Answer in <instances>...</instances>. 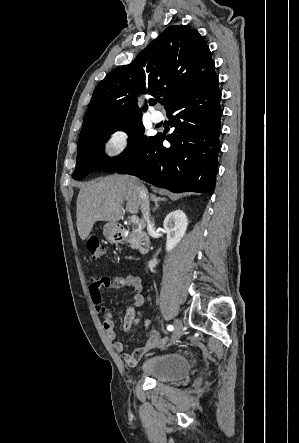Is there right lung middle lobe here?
<instances>
[{
    "mask_svg": "<svg viewBox=\"0 0 299 443\" xmlns=\"http://www.w3.org/2000/svg\"><path fill=\"white\" fill-rule=\"evenodd\" d=\"M123 130L129 135V146L117 157H107L104 143L112 133ZM154 137L144 135L141 118L121 121L95 129L79 138L74 179H82L92 171L116 172L136 160Z\"/></svg>",
    "mask_w": 299,
    "mask_h": 443,
    "instance_id": "right-lung-middle-lobe-1",
    "label": "right lung middle lobe"
}]
</instances>
